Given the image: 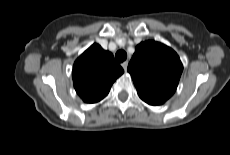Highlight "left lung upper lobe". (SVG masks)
<instances>
[{
	"instance_id": "5c2ea615",
	"label": "left lung upper lobe",
	"mask_w": 230,
	"mask_h": 155,
	"mask_svg": "<svg viewBox=\"0 0 230 155\" xmlns=\"http://www.w3.org/2000/svg\"><path fill=\"white\" fill-rule=\"evenodd\" d=\"M183 65L170 47L141 42L128 65L139 97L149 105H162L176 91Z\"/></svg>"
}]
</instances>
